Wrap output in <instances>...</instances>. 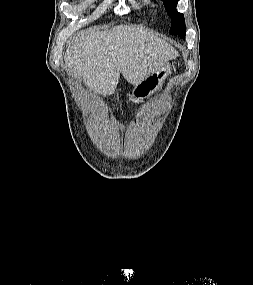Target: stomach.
I'll list each match as a JSON object with an SVG mask.
<instances>
[{
  "label": "stomach",
  "mask_w": 253,
  "mask_h": 285,
  "mask_svg": "<svg viewBox=\"0 0 253 285\" xmlns=\"http://www.w3.org/2000/svg\"><path fill=\"white\" fill-rule=\"evenodd\" d=\"M171 70L172 65L168 61L134 87L133 97L140 101L153 95L162 87L166 78L171 74Z\"/></svg>",
  "instance_id": "0dacf381"
}]
</instances>
